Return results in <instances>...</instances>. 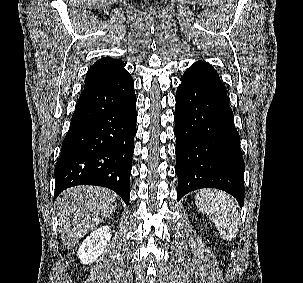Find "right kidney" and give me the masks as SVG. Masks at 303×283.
I'll return each mask as SVG.
<instances>
[{"label":"right kidney","mask_w":303,"mask_h":283,"mask_svg":"<svg viewBox=\"0 0 303 283\" xmlns=\"http://www.w3.org/2000/svg\"><path fill=\"white\" fill-rule=\"evenodd\" d=\"M111 238L109 226H102L92 232L77 251L82 264H91L104 252Z\"/></svg>","instance_id":"right-kidney-1"}]
</instances>
